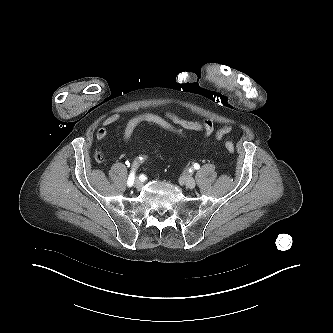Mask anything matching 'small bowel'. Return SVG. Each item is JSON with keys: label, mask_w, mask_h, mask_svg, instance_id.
<instances>
[{"label": "small bowel", "mask_w": 333, "mask_h": 333, "mask_svg": "<svg viewBox=\"0 0 333 333\" xmlns=\"http://www.w3.org/2000/svg\"><path fill=\"white\" fill-rule=\"evenodd\" d=\"M162 115L174 125L184 130L203 131L206 138L211 137L215 133L216 139L222 140L232 131L231 126H224L215 132L214 123L209 119L199 121L187 120L171 112H164ZM119 121H121V116L119 114L110 115L104 119L102 126L97 130L96 137L104 147L106 145L107 127L118 123Z\"/></svg>", "instance_id": "1"}]
</instances>
